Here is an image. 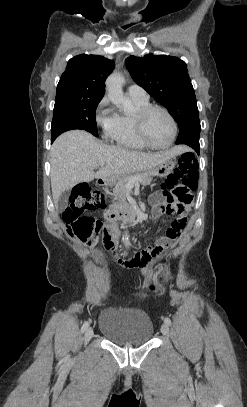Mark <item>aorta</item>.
<instances>
[{
  "mask_svg": "<svg viewBox=\"0 0 247 407\" xmlns=\"http://www.w3.org/2000/svg\"><path fill=\"white\" fill-rule=\"evenodd\" d=\"M123 82L124 78L119 73L111 74L106 80V90L108 93V97L114 104H122L127 101L122 89ZM123 242L126 247H129L130 241L127 231H125L123 235Z\"/></svg>",
  "mask_w": 247,
  "mask_h": 407,
  "instance_id": "obj_1",
  "label": "aorta"
}]
</instances>
